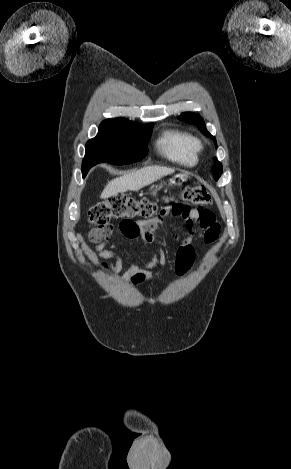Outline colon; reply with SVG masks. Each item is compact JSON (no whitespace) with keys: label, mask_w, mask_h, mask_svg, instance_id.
<instances>
[{"label":"colon","mask_w":291,"mask_h":469,"mask_svg":"<svg viewBox=\"0 0 291 469\" xmlns=\"http://www.w3.org/2000/svg\"><path fill=\"white\" fill-rule=\"evenodd\" d=\"M179 197L183 201L197 205L202 212L209 211L205 206L212 204V197L204 186L185 187L179 193ZM189 209V206L175 203L159 211L157 203L148 198L136 199L118 194L93 205L87 213V220L90 224L96 226L95 229L101 234H108L111 230L110 222L115 219H122L123 222L130 221L135 217L174 216L187 213ZM214 230L211 229L208 234H213Z\"/></svg>","instance_id":"colon-1"}]
</instances>
